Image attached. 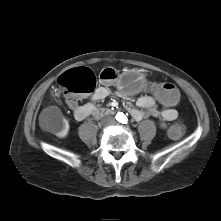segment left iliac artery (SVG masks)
Wrapping results in <instances>:
<instances>
[{
  "label": "left iliac artery",
  "mask_w": 221,
  "mask_h": 221,
  "mask_svg": "<svg viewBox=\"0 0 221 221\" xmlns=\"http://www.w3.org/2000/svg\"><path fill=\"white\" fill-rule=\"evenodd\" d=\"M121 123L126 124L128 122V119L126 116H123L120 120Z\"/></svg>",
  "instance_id": "44dca946"
}]
</instances>
